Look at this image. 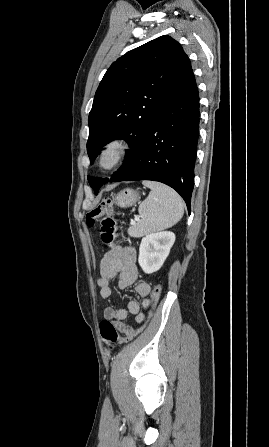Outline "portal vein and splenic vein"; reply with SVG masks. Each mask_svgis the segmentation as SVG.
<instances>
[{
  "label": "portal vein and splenic vein",
  "mask_w": 269,
  "mask_h": 447,
  "mask_svg": "<svg viewBox=\"0 0 269 447\" xmlns=\"http://www.w3.org/2000/svg\"><path fill=\"white\" fill-rule=\"evenodd\" d=\"M140 218H138V216H135L134 220H132V222H130V224H136V222H139Z\"/></svg>",
  "instance_id": "obj_1"
}]
</instances>
